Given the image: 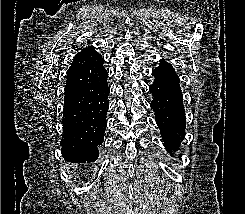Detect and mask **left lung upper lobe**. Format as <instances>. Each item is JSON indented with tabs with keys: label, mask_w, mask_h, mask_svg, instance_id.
Returning a JSON list of instances; mask_svg holds the SVG:
<instances>
[{
	"label": "left lung upper lobe",
	"mask_w": 245,
	"mask_h": 214,
	"mask_svg": "<svg viewBox=\"0 0 245 214\" xmlns=\"http://www.w3.org/2000/svg\"><path fill=\"white\" fill-rule=\"evenodd\" d=\"M160 62H161V63H164V64H169V63L166 62L164 59H162Z\"/></svg>",
	"instance_id": "5c2ea615"
}]
</instances>
